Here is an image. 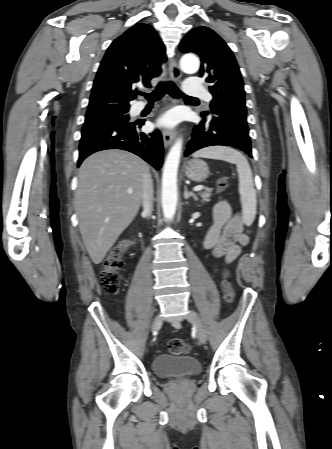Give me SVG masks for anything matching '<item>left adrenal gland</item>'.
I'll return each mask as SVG.
<instances>
[{"instance_id": "obj_1", "label": "left adrenal gland", "mask_w": 332, "mask_h": 449, "mask_svg": "<svg viewBox=\"0 0 332 449\" xmlns=\"http://www.w3.org/2000/svg\"><path fill=\"white\" fill-rule=\"evenodd\" d=\"M189 197H193L194 200H197V196L194 192L188 191L187 186H184V198L188 199Z\"/></svg>"}]
</instances>
